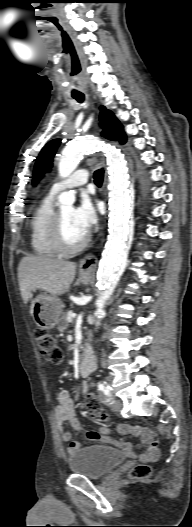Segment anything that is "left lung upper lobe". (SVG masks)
I'll list each match as a JSON object with an SVG mask.
<instances>
[{
	"label": "left lung upper lobe",
	"mask_w": 192,
	"mask_h": 527,
	"mask_svg": "<svg viewBox=\"0 0 192 527\" xmlns=\"http://www.w3.org/2000/svg\"><path fill=\"white\" fill-rule=\"evenodd\" d=\"M100 109V124L103 128L102 136L109 140L119 141L122 144L125 143L126 136L123 132V126L111 111L106 110L104 106H101ZM59 144L60 140L55 139L42 149L36 160L33 184H36L45 171L51 167L52 157Z\"/></svg>",
	"instance_id": "obj_1"
}]
</instances>
